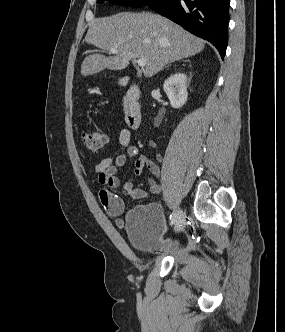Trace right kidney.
I'll list each match as a JSON object with an SVG mask.
<instances>
[{
  "instance_id": "right-kidney-1",
  "label": "right kidney",
  "mask_w": 285,
  "mask_h": 332,
  "mask_svg": "<svg viewBox=\"0 0 285 332\" xmlns=\"http://www.w3.org/2000/svg\"><path fill=\"white\" fill-rule=\"evenodd\" d=\"M187 76L184 73H175L165 80L163 89L173 108H181L187 101Z\"/></svg>"
}]
</instances>
